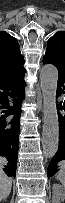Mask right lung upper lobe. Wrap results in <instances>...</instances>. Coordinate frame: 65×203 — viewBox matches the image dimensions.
I'll list each match as a JSON object with an SVG mask.
<instances>
[{
    "mask_svg": "<svg viewBox=\"0 0 65 203\" xmlns=\"http://www.w3.org/2000/svg\"><path fill=\"white\" fill-rule=\"evenodd\" d=\"M24 58L18 41L6 32H0V79L25 73Z\"/></svg>",
    "mask_w": 65,
    "mask_h": 203,
    "instance_id": "cb5924a9",
    "label": "right lung upper lobe"
}]
</instances>
